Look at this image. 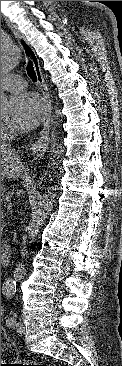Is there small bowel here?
<instances>
[{
    "label": "small bowel",
    "mask_w": 122,
    "mask_h": 366,
    "mask_svg": "<svg viewBox=\"0 0 122 366\" xmlns=\"http://www.w3.org/2000/svg\"><path fill=\"white\" fill-rule=\"evenodd\" d=\"M2 314H3V306L1 305V316H2Z\"/></svg>",
    "instance_id": "obj_1"
}]
</instances>
